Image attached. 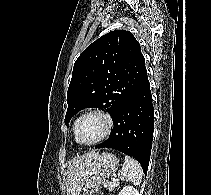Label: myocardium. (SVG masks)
<instances>
[{"label": "myocardium", "instance_id": "1", "mask_svg": "<svg viewBox=\"0 0 211 195\" xmlns=\"http://www.w3.org/2000/svg\"><path fill=\"white\" fill-rule=\"evenodd\" d=\"M91 115H97V116L101 117L105 123V129H104L103 133L96 140H94L92 142H83L79 139V127H80L81 122L86 117L91 116ZM113 127H114V120L108 112L101 110V109H92V110L85 112L77 119V121L75 123V128H74L75 139L81 145L93 146V145H96V144L102 142L103 140H105L111 134Z\"/></svg>", "mask_w": 211, "mask_h": 195}]
</instances>
